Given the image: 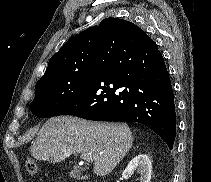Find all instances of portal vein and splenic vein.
I'll use <instances>...</instances> for the list:
<instances>
[{
	"label": "portal vein and splenic vein",
	"instance_id": "obj_1",
	"mask_svg": "<svg viewBox=\"0 0 211 182\" xmlns=\"http://www.w3.org/2000/svg\"><path fill=\"white\" fill-rule=\"evenodd\" d=\"M82 157V156H81ZM83 159H86L89 162L94 161L95 159V155H93L92 153H88L87 155H85L84 157H82Z\"/></svg>",
	"mask_w": 211,
	"mask_h": 182
}]
</instances>
